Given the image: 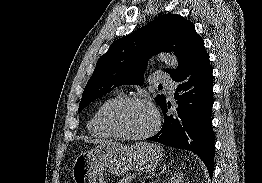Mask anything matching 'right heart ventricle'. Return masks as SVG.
<instances>
[{"instance_id": "1", "label": "right heart ventricle", "mask_w": 262, "mask_h": 183, "mask_svg": "<svg viewBox=\"0 0 262 183\" xmlns=\"http://www.w3.org/2000/svg\"><path fill=\"white\" fill-rule=\"evenodd\" d=\"M121 94L113 95L107 99H105L94 111L88 122V131L89 133L100 139H108L114 137L106 128L104 124V115L108 108L112 106L114 103L122 99Z\"/></svg>"}]
</instances>
